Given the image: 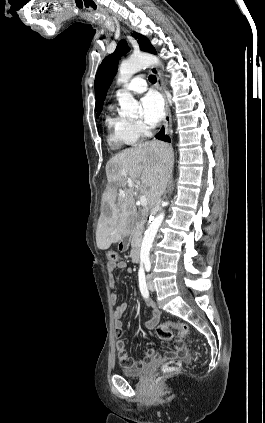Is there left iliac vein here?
I'll list each match as a JSON object with an SVG mask.
<instances>
[{
  "label": "left iliac vein",
  "mask_w": 265,
  "mask_h": 423,
  "mask_svg": "<svg viewBox=\"0 0 265 423\" xmlns=\"http://www.w3.org/2000/svg\"><path fill=\"white\" fill-rule=\"evenodd\" d=\"M147 280H148V288H149V290H150V291H154V290H155V287H154V284H153V282H152V280H151V277H150V276H148V277H147Z\"/></svg>",
  "instance_id": "obj_1"
}]
</instances>
